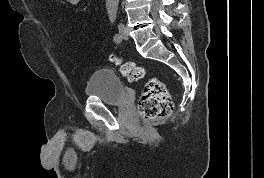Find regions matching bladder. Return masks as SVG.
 Returning a JSON list of instances; mask_svg holds the SVG:
<instances>
[{
  "instance_id": "bladder-1",
  "label": "bladder",
  "mask_w": 264,
  "mask_h": 178,
  "mask_svg": "<svg viewBox=\"0 0 264 178\" xmlns=\"http://www.w3.org/2000/svg\"><path fill=\"white\" fill-rule=\"evenodd\" d=\"M85 95L112 106L122 105L126 100L123 82L109 69H99L91 74L85 85Z\"/></svg>"
}]
</instances>
